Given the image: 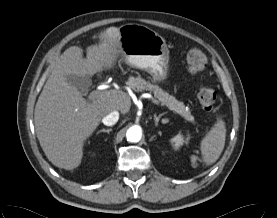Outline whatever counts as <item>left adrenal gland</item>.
Wrapping results in <instances>:
<instances>
[{
  "instance_id": "left-adrenal-gland-1",
  "label": "left adrenal gland",
  "mask_w": 277,
  "mask_h": 218,
  "mask_svg": "<svg viewBox=\"0 0 277 218\" xmlns=\"http://www.w3.org/2000/svg\"><path fill=\"white\" fill-rule=\"evenodd\" d=\"M165 113L159 114L158 116L154 114V120H155V126H158L160 118L164 115ZM163 123L168 122V120H162Z\"/></svg>"
}]
</instances>
